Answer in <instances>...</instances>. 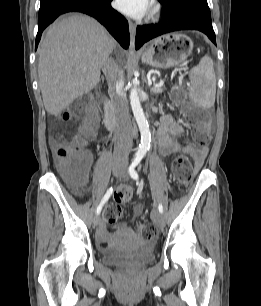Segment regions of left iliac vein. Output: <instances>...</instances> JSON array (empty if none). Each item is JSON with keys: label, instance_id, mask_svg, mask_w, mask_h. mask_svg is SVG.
Here are the masks:
<instances>
[{"label": "left iliac vein", "instance_id": "4c4485c4", "mask_svg": "<svg viewBox=\"0 0 261 306\" xmlns=\"http://www.w3.org/2000/svg\"><path fill=\"white\" fill-rule=\"evenodd\" d=\"M118 177L123 178V179H127V165L124 163L122 164V166L120 167V170L117 174ZM155 223L159 226V227H163L165 224V220H164V216L162 215V213H158L155 216Z\"/></svg>", "mask_w": 261, "mask_h": 306}]
</instances>
